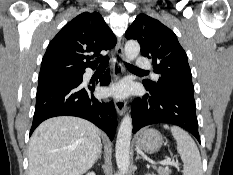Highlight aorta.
Returning a JSON list of instances; mask_svg holds the SVG:
<instances>
[{
    "mask_svg": "<svg viewBox=\"0 0 233 175\" xmlns=\"http://www.w3.org/2000/svg\"><path fill=\"white\" fill-rule=\"evenodd\" d=\"M125 57L128 61L134 60L140 53L137 41L129 40L125 44ZM132 135V119L126 114L121 121L116 140V163L119 171L125 174L130 165V141Z\"/></svg>",
    "mask_w": 233,
    "mask_h": 175,
    "instance_id": "obj_1",
    "label": "aorta"
}]
</instances>
